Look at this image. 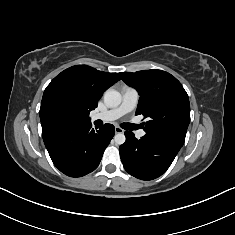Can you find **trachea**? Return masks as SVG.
I'll return each mask as SVG.
<instances>
[{
	"label": "trachea",
	"mask_w": 235,
	"mask_h": 235,
	"mask_svg": "<svg viewBox=\"0 0 235 235\" xmlns=\"http://www.w3.org/2000/svg\"><path fill=\"white\" fill-rule=\"evenodd\" d=\"M122 128L127 129V130H133L137 128V125L134 124H124L122 125Z\"/></svg>",
	"instance_id": "trachea-1"
}]
</instances>
